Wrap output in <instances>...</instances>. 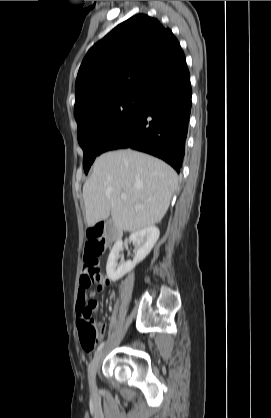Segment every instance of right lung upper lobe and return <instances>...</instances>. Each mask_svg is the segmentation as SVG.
I'll return each mask as SVG.
<instances>
[{
	"instance_id": "obj_1",
	"label": "right lung upper lobe",
	"mask_w": 271,
	"mask_h": 418,
	"mask_svg": "<svg viewBox=\"0 0 271 418\" xmlns=\"http://www.w3.org/2000/svg\"><path fill=\"white\" fill-rule=\"evenodd\" d=\"M185 65L172 31L155 18L135 15L88 51L77 75L74 114L120 94L150 98Z\"/></svg>"
}]
</instances>
